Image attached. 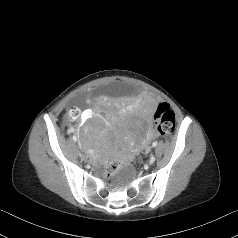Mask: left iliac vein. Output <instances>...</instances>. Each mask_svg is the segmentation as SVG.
<instances>
[{
	"label": "left iliac vein",
	"mask_w": 238,
	"mask_h": 238,
	"mask_svg": "<svg viewBox=\"0 0 238 238\" xmlns=\"http://www.w3.org/2000/svg\"><path fill=\"white\" fill-rule=\"evenodd\" d=\"M154 161H155V157H154V156H151V158H150V160H149V164H150V165L153 164Z\"/></svg>",
	"instance_id": "obj_1"
}]
</instances>
